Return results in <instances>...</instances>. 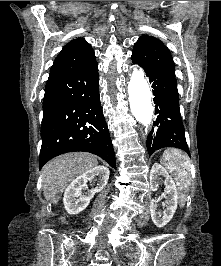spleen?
<instances>
[{"label":"spleen","instance_id":"3e777b00","mask_svg":"<svg viewBox=\"0 0 221 266\" xmlns=\"http://www.w3.org/2000/svg\"><path fill=\"white\" fill-rule=\"evenodd\" d=\"M161 163L172 174L181 193V200L186 201V196L191 185V163L189 157L178 149H166Z\"/></svg>","mask_w":221,"mask_h":266}]
</instances>
